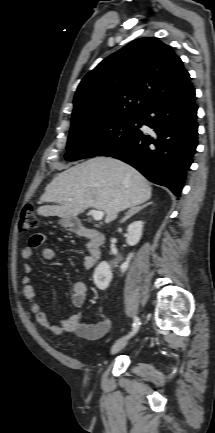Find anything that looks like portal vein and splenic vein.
Returning <instances> with one entry per match:
<instances>
[{
  "label": "portal vein and splenic vein",
  "instance_id": "18ae733b",
  "mask_svg": "<svg viewBox=\"0 0 215 433\" xmlns=\"http://www.w3.org/2000/svg\"><path fill=\"white\" fill-rule=\"evenodd\" d=\"M90 214H91V216L93 217V219L95 221H100L104 217V212L100 211V210H94V209H92V210H90Z\"/></svg>",
  "mask_w": 215,
  "mask_h": 433
}]
</instances>
